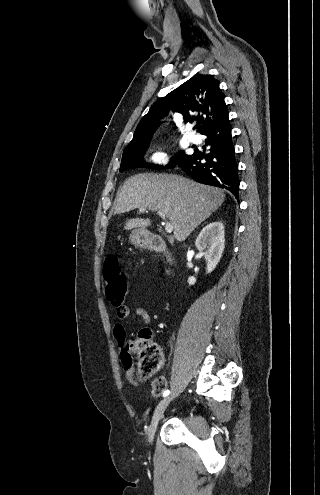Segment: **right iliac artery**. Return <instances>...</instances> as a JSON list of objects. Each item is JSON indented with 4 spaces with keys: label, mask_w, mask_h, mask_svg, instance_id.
Listing matches in <instances>:
<instances>
[{
    "label": "right iliac artery",
    "mask_w": 320,
    "mask_h": 495,
    "mask_svg": "<svg viewBox=\"0 0 320 495\" xmlns=\"http://www.w3.org/2000/svg\"><path fill=\"white\" fill-rule=\"evenodd\" d=\"M169 394H170V391H169V390H165V391L163 392V396H164V397H165V396H167V395H169Z\"/></svg>",
    "instance_id": "obj_1"
}]
</instances>
